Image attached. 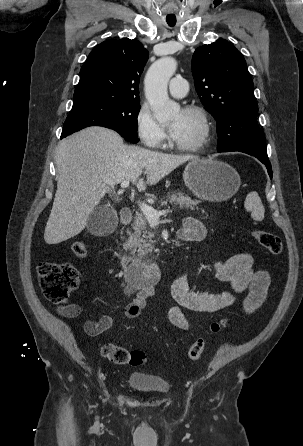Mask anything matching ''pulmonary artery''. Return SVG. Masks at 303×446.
Here are the masks:
<instances>
[{
	"mask_svg": "<svg viewBox=\"0 0 303 446\" xmlns=\"http://www.w3.org/2000/svg\"><path fill=\"white\" fill-rule=\"evenodd\" d=\"M188 92L187 81L180 76L174 77L169 83V93L175 98H182Z\"/></svg>",
	"mask_w": 303,
	"mask_h": 446,
	"instance_id": "pulmonary-artery-1",
	"label": "pulmonary artery"
}]
</instances>
